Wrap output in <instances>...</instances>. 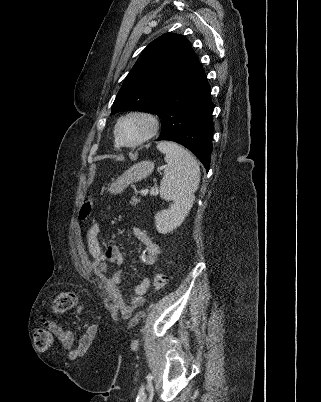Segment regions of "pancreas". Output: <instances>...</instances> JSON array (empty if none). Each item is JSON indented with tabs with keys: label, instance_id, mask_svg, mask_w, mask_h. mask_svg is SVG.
Segmentation results:
<instances>
[{
	"label": "pancreas",
	"instance_id": "cf45deb5",
	"mask_svg": "<svg viewBox=\"0 0 321 402\" xmlns=\"http://www.w3.org/2000/svg\"><path fill=\"white\" fill-rule=\"evenodd\" d=\"M137 203H139V199H137V198H131V200H130V204L131 205H136Z\"/></svg>",
	"mask_w": 321,
	"mask_h": 402
}]
</instances>
